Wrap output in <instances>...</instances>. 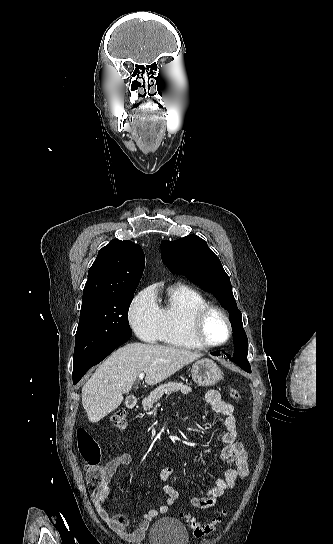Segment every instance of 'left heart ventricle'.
<instances>
[{
  "label": "left heart ventricle",
  "mask_w": 333,
  "mask_h": 544,
  "mask_svg": "<svg viewBox=\"0 0 333 544\" xmlns=\"http://www.w3.org/2000/svg\"><path fill=\"white\" fill-rule=\"evenodd\" d=\"M228 334L224 319L217 313H212L205 323V335L210 342H222Z\"/></svg>",
  "instance_id": "left-heart-ventricle-1"
}]
</instances>
